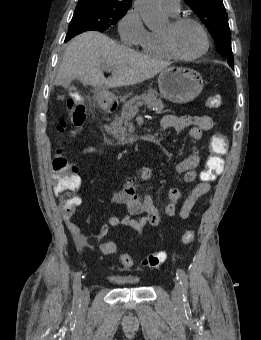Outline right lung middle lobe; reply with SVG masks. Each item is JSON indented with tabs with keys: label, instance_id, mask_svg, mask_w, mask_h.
<instances>
[{
	"label": "right lung middle lobe",
	"instance_id": "right-lung-middle-lobe-1",
	"mask_svg": "<svg viewBox=\"0 0 261 340\" xmlns=\"http://www.w3.org/2000/svg\"><path fill=\"white\" fill-rule=\"evenodd\" d=\"M129 8L97 4H77L68 31L86 30L100 31L116 24Z\"/></svg>",
	"mask_w": 261,
	"mask_h": 340
}]
</instances>
